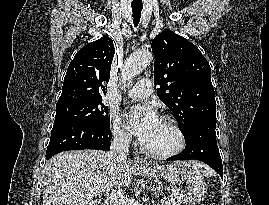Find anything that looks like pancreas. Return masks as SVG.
<instances>
[{"label":"pancreas","instance_id":"pancreas-1","mask_svg":"<svg viewBox=\"0 0 269 205\" xmlns=\"http://www.w3.org/2000/svg\"><path fill=\"white\" fill-rule=\"evenodd\" d=\"M157 205H179L176 201L171 200L169 198L161 199Z\"/></svg>","mask_w":269,"mask_h":205}]
</instances>
